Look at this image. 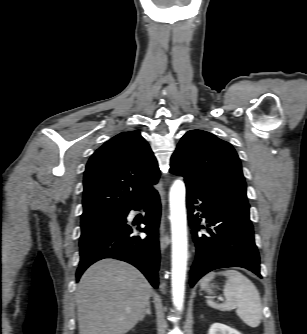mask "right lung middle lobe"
<instances>
[{"instance_id":"1","label":"right lung middle lobe","mask_w":307,"mask_h":334,"mask_svg":"<svg viewBox=\"0 0 307 334\" xmlns=\"http://www.w3.org/2000/svg\"><path fill=\"white\" fill-rule=\"evenodd\" d=\"M125 213H97L81 218L80 246L121 223Z\"/></svg>"}]
</instances>
